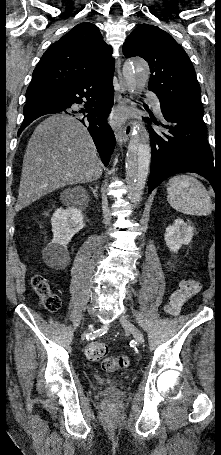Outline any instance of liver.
<instances>
[{
    "label": "liver",
    "instance_id": "liver-1",
    "mask_svg": "<svg viewBox=\"0 0 221 455\" xmlns=\"http://www.w3.org/2000/svg\"><path fill=\"white\" fill-rule=\"evenodd\" d=\"M102 170L86 127L71 116L52 115L36 127L28 142L15 210L58 188L98 180Z\"/></svg>",
    "mask_w": 221,
    "mask_h": 455
}]
</instances>
